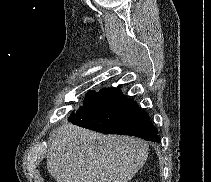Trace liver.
Listing matches in <instances>:
<instances>
[{
	"label": "liver",
	"mask_w": 211,
	"mask_h": 182,
	"mask_svg": "<svg viewBox=\"0 0 211 182\" xmlns=\"http://www.w3.org/2000/svg\"><path fill=\"white\" fill-rule=\"evenodd\" d=\"M147 157L148 145L141 139L66 123L52 142L47 169L57 182H128Z\"/></svg>",
	"instance_id": "liver-1"
}]
</instances>
